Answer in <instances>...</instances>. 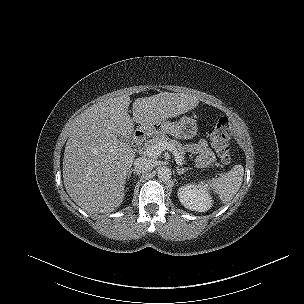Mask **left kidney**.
Masks as SVG:
<instances>
[{
  "mask_svg": "<svg viewBox=\"0 0 304 304\" xmlns=\"http://www.w3.org/2000/svg\"><path fill=\"white\" fill-rule=\"evenodd\" d=\"M208 189V185L203 182L198 185L188 184L179 188L178 198L185 208L205 212L212 207L213 203Z\"/></svg>",
  "mask_w": 304,
  "mask_h": 304,
  "instance_id": "1",
  "label": "left kidney"
}]
</instances>
